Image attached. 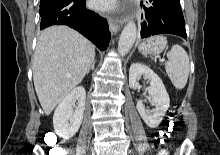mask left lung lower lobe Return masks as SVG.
<instances>
[{
  "label": "left lung lower lobe",
  "mask_w": 220,
  "mask_h": 155,
  "mask_svg": "<svg viewBox=\"0 0 220 155\" xmlns=\"http://www.w3.org/2000/svg\"><path fill=\"white\" fill-rule=\"evenodd\" d=\"M144 7L146 21L141 28V37L158 34H174L186 38L185 21L179 0H148Z\"/></svg>",
  "instance_id": "0a47b994"
}]
</instances>
